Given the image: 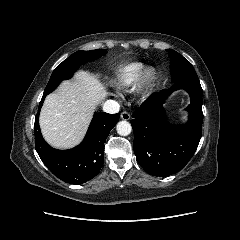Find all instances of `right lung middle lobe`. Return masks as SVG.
<instances>
[{"mask_svg":"<svg viewBox=\"0 0 240 240\" xmlns=\"http://www.w3.org/2000/svg\"><path fill=\"white\" fill-rule=\"evenodd\" d=\"M106 52V49H97L92 51H77L73 53L53 71L46 89L44 90V94L48 95L61 81L70 79L80 65L94 61L105 55Z\"/></svg>","mask_w":240,"mask_h":240,"instance_id":"dd1d6c3e","label":"right lung middle lobe"}]
</instances>
